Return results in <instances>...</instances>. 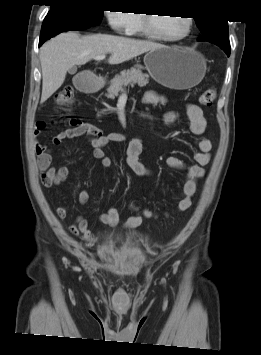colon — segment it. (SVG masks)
<instances>
[{
    "label": "colon",
    "instance_id": "1",
    "mask_svg": "<svg viewBox=\"0 0 261 355\" xmlns=\"http://www.w3.org/2000/svg\"><path fill=\"white\" fill-rule=\"evenodd\" d=\"M217 97L216 88L212 87L202 92L199 98V102L203 106L210 107L214 104ZM54 101L59 106H69L74 102V94L71 87H64L60 89L54 95ZM38 126H43V123H39Z\"/></svg>",
    "mask_w": 261,
    "mask_h": 355
}]
</instances>
